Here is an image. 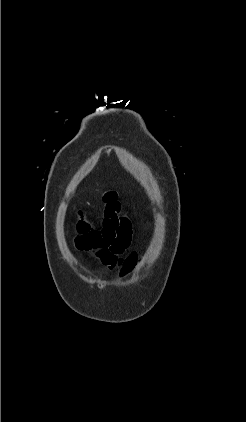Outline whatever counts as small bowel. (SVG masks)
Masks as SVG:
<instances>
[{
	"mask_svg": "<svg viewBox=\"0 0 246 422\" xmlns=\"http://www.w3.org/2000/svg\"><path fill=\"white\" fill-rule=\"evenodd\" d=\"M120 210L118 202L108 204L101 228L83 231L76 239V247L94 253L109 268L118 266L120 275L126 276L135 265L136 255L121 257L130 246L132 225Z\"/></svg>",
	"mask_w": 246,
	"mask_h": 422,
	"instance_id": "c3829d8e",
	"label": "small bowel"
}]
</instances>
